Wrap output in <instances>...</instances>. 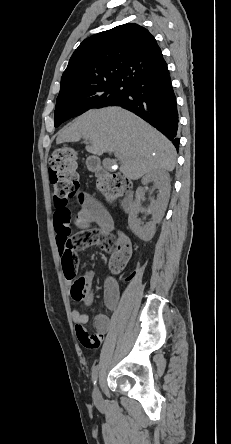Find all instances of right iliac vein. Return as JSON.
Returning <instances> with one entry per match:
<instances>
[{"mask_svg": "<svg viewBox=\"0 0 231 444\" xmlns=\"http://www.w3.org/2000/svg\"><path fill=\"white\" fill-rule=\"evenodd\" d=\"M93 398L97 404L101 403V401H102V397H101L98 387H95V389L93 391Z\"/></svg>", "mask_w": 231, "mask_h": 444, "instance_id": "1", "label": "right iliac vein"}]
</instances>
